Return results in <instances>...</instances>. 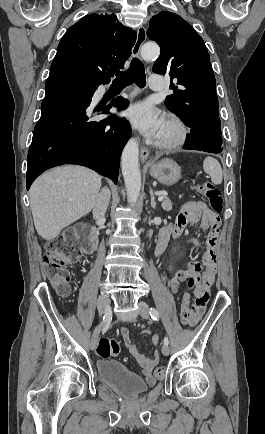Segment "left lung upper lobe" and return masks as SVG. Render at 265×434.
<instances>
[{"mask_svg":"<svg viewBox=\"0 0 265 434\" xmlns=\"http://www.w3.org/2000/svg\"><path fill=\"white\" fill-rule=\"evenodd\" d=\"M147 36L161 48L152 71L171 77L174 93L165 101L167 108L191 130L221 136L215 76L203 39L189 23L168 11L152 17Z\"/></svg>","mask_w":265,"mask_h":434,"instance_id":"obj_1","label":"left lung upper lobe"}]
</instances>
